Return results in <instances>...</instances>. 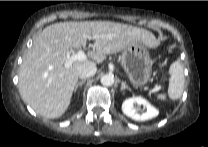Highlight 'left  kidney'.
<instances>
[{
  "mask_svg": "<svg viewBox=\"0 0 208 147\" xmlns=\"http://www.w3.org/2000/svg\"><path fill=\"white\" fill-rule=\"evenodd\" d=\"M134 104H137L138 106L142 105L144 108H146V112L139 114L137 109L134 108ZM122 111L126 116L136 121H146L152 119L158 116L159 113L155 107H153L146 99L140 96L126 99L122 104Z\"/></svg>",
  "mask_w": 208,
  "mask_h": 147,
  "instance_id": "1",
  "label": "left kidney"
}]
</instances>
